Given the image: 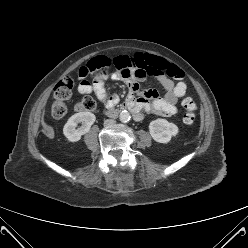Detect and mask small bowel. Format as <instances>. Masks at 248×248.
Listing matches in <instances>:
<instances>
[{
    "mask_svg": "<svg viewBox=\"0 0 248 248\" xmlns=\"http://www.w3.org/2000/svg\"><path fill=\"white\" fill-rule=\"evenodd\" d=\"M117 56H124L131 63L132 67L129 73L103 74L95 77L90 82L85 78L87 75L86 68L83 67L80 70L82 78L77 87L78 92L81 94H94L105 108L111 109L119 102V96L116 94L107 95L105 82L108 78L113 80L122 79L129 87L126 101L131 102L136 120L142 119V112L165 117L177 113L178 101L185 95L187 89L183 73L179 68L160 57L142 52ZM148 77L155 78L162 86L164 92L162 97L154 89H140V82ZM172 78L176 79V81Z\"/></svg>",
    "mask_w": 248,
    "mask_h": 248,
    "instance_id": "1",
    "label": "small bowel"
}]
</instances>
